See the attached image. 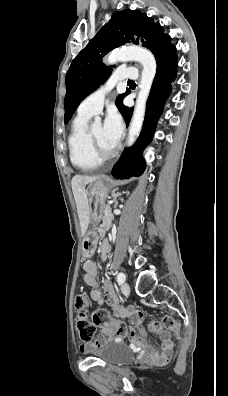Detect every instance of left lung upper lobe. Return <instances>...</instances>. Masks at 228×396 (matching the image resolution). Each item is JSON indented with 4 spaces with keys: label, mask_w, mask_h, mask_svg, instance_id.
<instances>
[{
    "label": "left lung upper lobe",
    "mask_w": 228,
    "mask_h": 396,
    "mask_svg": "<svg viewBox=\"0 0 228 396\" xmlns=\"http://www.w3.org/2000/svg\"><path fill=\"white\" fill-rule=\"evenodd\" d=\"M164 34L162 26L145 13L126 9L112 14L87 46L74 58L67 72L66 96L64 100V122L67 123L80 102L110 75L112 68L102 64V57L115 47L125 43L138 44L148 48L149 44ZM127 92L118 96L116 105L123 108L122 100Z\"/></svg>",
    "instance_id": "1"
}]
</instances>
